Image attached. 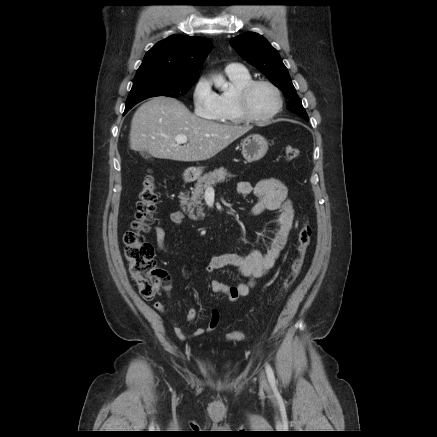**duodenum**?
Masks as SVG:
<instances>
[{
	"label": "duodenum",
	"instance_id": "duodenum-1",
	"mask_svg": "<svg viewBox=\"0 0 437 437\" xmlns=\"http://www.w3.org/2000/svg\"><path fill=\"white\" fill-rule=\"evenodd\" d=\"M194 177H195V174H194L193 171H186V172L183 174V180H184V182H186V183L192 181V180L194 179Z\"/></svg>",
	"mask_w": 437,
	"mask_h": 437
}]
</instances>
